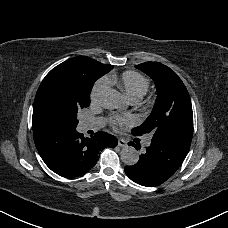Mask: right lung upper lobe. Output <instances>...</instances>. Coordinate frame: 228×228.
<instances>
[{"instance_id": "cb5924a9", "label": "right lung upper lobe", "mask_w": 228, "mask_h": 228, "mask_svg": "<svg viewBox=\"0 0 228 228\" xmlns=\"http://www.w3.org/2000/svg\"><path fill=\"white\" fill-rule=\"evenodd\" d=\"M111 67L113 66L99 63L89 57L78 56L59 64L50 73L60 75L69 81L86 83L94 80L103 71ZM40 131L33 127V133Z\"/></svg>"}]
</instances>
